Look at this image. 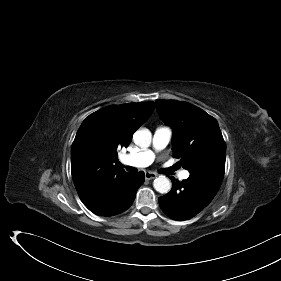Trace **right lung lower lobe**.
Instances as JSON below:
<instances>
[{
  "label": "right lung lower lobe",
  "instance_id": "obj_1",
  "mask_svg": "<svg viewBox=\"0 0 281 281\" xmlns=\"http://www.w3.org/2000/svg\"><path fill=\"white\" fill-rule=\"evenodd\" d=\"M144 172L127 173L115 180L96 197L83 202L93 213L112 216L127 210L135 199L138 188L145 180Z\"/></svg>",
  "mask_w": 281,
  "mask_h": 281
}]
</instances>
